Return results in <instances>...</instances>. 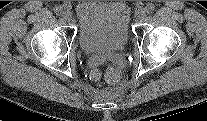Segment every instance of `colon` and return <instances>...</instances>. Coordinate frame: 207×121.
I'll use <instances>...</instances> for the list:
<instances>
[{
    "mask_svg": "<svg viewBox=\"0 0 207 121\" xmlns=\"http://www.w3.org/2000/svg\"><path fill=\"white\" fill-rule=\"evenodd\" d=\"M120 72L116 66L109 67L105 72V79L110 83H115L119 80Z\"/></svg>",
    "mask_w": 207,
    "mask_h": 121,
    "instance_id": "1",
    "label": "colon"
}]
</instances>
